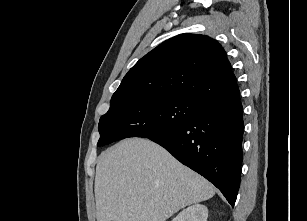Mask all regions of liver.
Returning <instances> with one entry per match:
<instances>
[{"label": "liver", "instance_id": "1", "mask_svg": "<svg viewBox=\"0 0 307 221\" xmlns=\"http://www.w3.org/2000/svg\"><path fill=\"white\" fill-rule=\"evenodd\" d=\"M94 192L97 221H166L215 188L158 144L130 138L101 153Z\"/></svg>", "mask_w": 307, "mask_h": 221}]
</instances>
